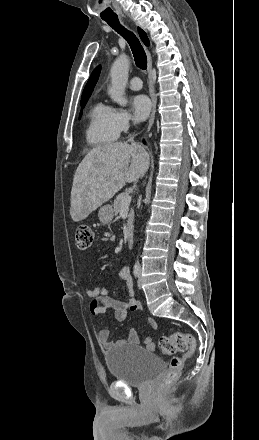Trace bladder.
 <instances>
[{
  "label": "bladder",
  "mask_w": 259,
  "mask_h": 440,
  "mask_svg": "<svg viewBox=\"0 0 259 440\" xmlns=\"http://www.w3.org/2000/svg\"><path fill=\"white\" fill-rule=\"evenodd\" d=\"M105 361L114 379L132 386L146 385L165 369L159 356L132 344L106 352Z\"/></svg>",
  "instance_id": "1"
}]
</instances>
